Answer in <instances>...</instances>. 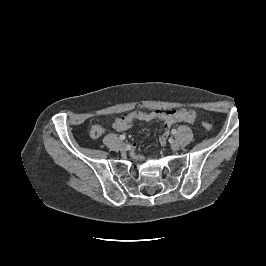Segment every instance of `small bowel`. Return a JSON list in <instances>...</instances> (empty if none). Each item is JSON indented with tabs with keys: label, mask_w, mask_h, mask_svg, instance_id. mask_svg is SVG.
Segmentation results:
<instances>
[{
	"label": "small bowel",
	"mask_w": 266,
	"mask_h": 266,
	"mask_svg": "<svg viewBox=\"0 0 266 266\" xmlns=\"http://www.w3.org/2000/svg\"><path fill=\"white\" fill-rule=\"evenodd\" d=\"M196 119V113L193 110L181 108L173 110H155L151 112L133 111L125 116L117 118L113 123V128L119 132L129 129L135 121L150 122L161 120L164 123V130L159 137V142L165 144L169 129L178 122L193 123ZM104 128L100 124H93L90 129V136L93 139L101 137Z\"/></svg>",
	"instance_id": "small-bowel-1"
}]
</instances>
